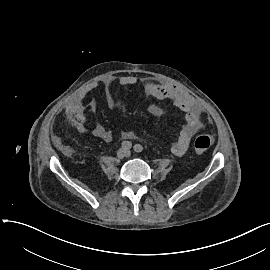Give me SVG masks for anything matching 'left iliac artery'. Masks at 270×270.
<instances>
[{
    "mask_svg": "<svg viewBox=\"0 0 270 270\" xmlns=\"http://www.w3.org/2000/svg\"><path fill=\"white\" fill-rule=\"evenodd\" d=\"M142 150H143V147L140 144H136L134 146V151L135 152L140 153V152H142Z\"/></svg>",
    "mask_w": 270,
    "mask_h": 270,
    "instance_id": "obj_1",
    "label": "left iliac artery"
}]
</instances>
